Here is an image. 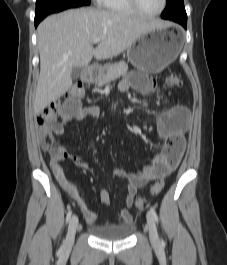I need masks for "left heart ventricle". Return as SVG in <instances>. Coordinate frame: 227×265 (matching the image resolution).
Returning <instances> with one entry per match:
<instances>
[{
	"instance_id": "left-heart-ventricle-1",
	"label": "left heart ventricle",
	"mask_w": 227,
	"mask_h": 265,
	"mask_svg": "<svg viewBox=\"0 0 227 265\" xmlns=\"http://www.w3.org/2000/svg\"><path fill=\"white\" fill-rule=\"evenodd\" d=\"M140 9L145 13H154L162 5V0H137Z\"/></svg>"
}]
</instances>
